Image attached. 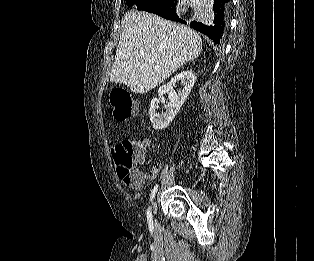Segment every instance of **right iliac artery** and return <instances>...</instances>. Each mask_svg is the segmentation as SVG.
Listing matches in <instances>:
<instances>
[{"label": "right iliac artery", "mask_w": 314, "mask_h": 261, "mask_svg": "<svg viewBox=\"0 0 314 261\" xmlns=\"http://www.w3.org/2000/svg\"><path fill=\"white\" fill-rule=\"evenodd\" d=\"M157 189H158V184H156L151 191V194H150V201L151 202L153 201V199L155 197ZM147 220H148L149 227L153 228V220H152V213H151V207L150 206L147 209Z\"/></svg>", "instance_id": "82829eb1"}]
</instances>
